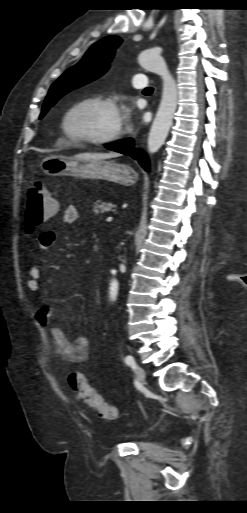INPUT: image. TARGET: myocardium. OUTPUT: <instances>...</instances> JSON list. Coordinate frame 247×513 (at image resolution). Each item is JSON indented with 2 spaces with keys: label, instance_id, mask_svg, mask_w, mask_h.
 <instances>
[{
  "label": "myocardium",
  "instance_id": "myocardium-1",
  "mask_svg": "<svg viewBox=\"0 0 247 513\" xmlns=\"http://www.w3.org/2000/svg\"><path fill=\"white\" fill-rule=\"evenodd\" d=\"M90 104H98L108 106L115 110L118 109L117 103L110 97H105L101 95H91L84 98H81L71 104H69L62 112L60 117V129L63 134L72 141L88 143L94 145H104L118 140L123 134V126L121 122L118 124L117 128L103 136H87L82 134L73 133L69 128V119L72 113L81 106L90 105Z\"/></svg>",
  "mask_w": 247,
  "mask_h": 513
}]
</instances>
